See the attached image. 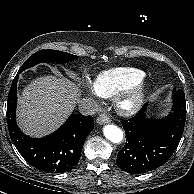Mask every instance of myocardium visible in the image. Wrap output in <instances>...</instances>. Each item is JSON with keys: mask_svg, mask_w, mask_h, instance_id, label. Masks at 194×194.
<instances>
[{"mask_svg": "<svg viewBox=\"0 0 194 194\" xmlns=\"http://www.w3.org/2000/svg\"><path fill=\"white\" fill-rule=\"evenodd\" d=\"M148 90L149 84L143 78L118 92L114 98L117 112L123 116L135 115L143 107Z\"/></svg>", "mask_w": 194, "mask_h": 194, "instance_id": "myocardium-1", "label": "myocardium"}]
</instances>
